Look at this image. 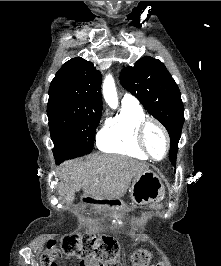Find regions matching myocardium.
Listing matches in <instances>:
<instances>
[{
  "label": "myocardium",
  "mask_w": 221,
  "mask_h": 266,
  "mask_svg": "<svg viewBox=\"0 0 221 266\" xmlns=\"http://www.w3.org/2000/svg\"><path fill=\"white\" fill-rule=\"evenodd\" d=\"M150 125H154L159 129V131L162 133L164 140H165V151L161 158L154 157L146 143V130ZM137 141L141 149L145 152V154L148 156V158L154 160V161H161L165 159L170 151V137L166 130V128L156 119L151 117H145L143 120L140 121L137 127Z\"/></svg>",
  "instance_id": "obj_1"
}]
</instances>
